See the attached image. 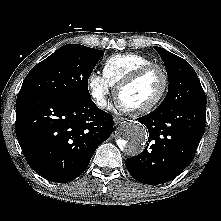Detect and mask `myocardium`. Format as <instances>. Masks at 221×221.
Returning <instances> with one entry per match:
<instances>
[{"mask_svg":"<svg viewBox=\"0 0 221 221\" xmlns=\"http://www.w3.org/2000/svg\"><path fill=\"white\" fill-rule=\"evenodd\" d=\"M155 69L159 70L163 77V86H162L160 93L157 95V97L154 100H152L150 103L143 105V106H139V107L124 106L120 101V94L122 93V91L125 88L131 86L132 84L136 83L145 74ZM168 88H169V75L166 69L159 64L153 63V64L140 67L139 69L131 73L129 76L124 78L122 81H120L115 88V94H114L115 101H116L117 106L124 112L134 114V115H141V114L150 112L153 109H155L164 100L168 92Z\"/></svg>","mask_w":221,"mask_h":221,"instance_id":"myocardium-1","label":"myocardium"}]
</instances>
